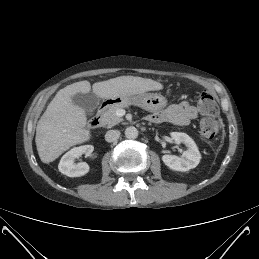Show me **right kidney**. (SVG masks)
Returning <instances> with one entry per match:
<instances>
[{
	"label": "right kidney",
	"mask_w": 259,
	"mask_h": 259,
	"mask_svg": "<svg viewBox=\"0 0 259 259\" xmlns=\"http://www.w3.org/2000/svg\"><path fill=\"white\" fill-rule=\"evenodd\" d=\"M94 150L92 145H83L74 147L65 153L58 165L59 171L68 177H80L89 172V165L86 162L76 164L74 160L81 155L85 154L86 157L90 156Z\"/></svg>",
	"instance_id": "obj_1"
}]
</instances>
